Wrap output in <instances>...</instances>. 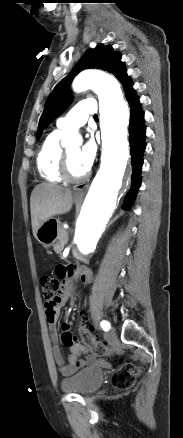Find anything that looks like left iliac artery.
<instances>
[{"mask_svg": "<svg viewBox=\"0 0 183 438\" xmlns=\"http://www.w3.org/2000/svg\"><path fill=\"white\" fill-rule=\"evenodd\" d=\"M100 326H101V328H102L104 331H108V330H110V328H111L110 323H109L108 321H106V320H103V321L100 323Z\"/></svg>", "mask_w": 183, "mask_h": 438, "instance_id": "1", "label": "left iliac artery"}]
</instances>
